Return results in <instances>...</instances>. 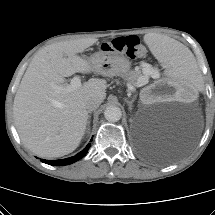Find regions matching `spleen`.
Wrapping results in <instances>:
<instances>
[{"mask_svg":"<svg viewBox=\"0 0 215 215\" xmlns=\"http://www.w3.org/2000/svg\"><path fill=\"white\" fill-rule=\"evenodd\" d=\"M146 43L154 56L169 69V77L177 83L192 86L199 82L197 62L179 42L168 38L147 36Z\"/></svg>","mask_w":215,"mask_h":215,"instance_id":"1","label":"spleen"}]
</instances>
